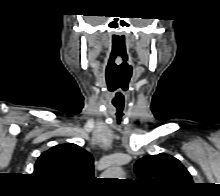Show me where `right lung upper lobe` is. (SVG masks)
I'll use <instances>...</instances> for the list:
<instances>
[{
	"label": "right lung upper lobe",
	"mask_w": 220,
	"mask_h": 196,
	"mask_svg": "<svg viewBox=\"0 0 220 196\" xmlns=\"http://www.w3.org/2000/svg\"><path fill=\"white\" fill-rule=\"evenodd\" d=\"M93 163L92 155L76 144L56 145L40 155L33 174L60 184H80L93 178Z\"/></svg>",
	"instance_id": "cb5924a9"
}]
</instances>
